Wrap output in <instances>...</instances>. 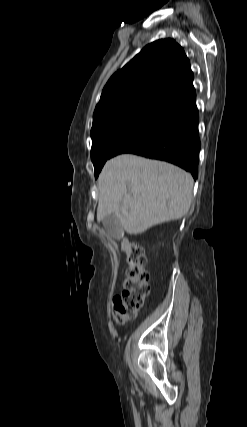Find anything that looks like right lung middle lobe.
<instances>
[{
    "instance_id": "right-lung-middle-lobe-1",
    "label": "right lung middle lobe",
    "mask_w": 247,
    "mask_h": 427,
    "mask_svg": "<svg viewBox=\"0 0 247 427\" xmlns=\"http://www.w3.org/2000/svg\"><path fill=\"white\" fill-rule=\"evenodd\" d=\"M155 109L148 106L128 107L106 113L93 121L91 159L95 178L117 146Z\"/></svg>"
}]
</instances>
